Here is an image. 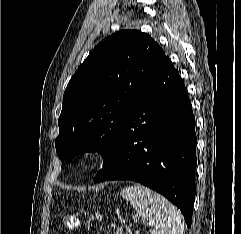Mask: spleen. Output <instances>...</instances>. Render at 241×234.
Instances as JSON below:
<instances>
[{"label": "spleen", "instance_id": "3e777b00", "mask_svg": "<svg viewBox=\"0 0 241 234\" xmlns=\"http://www.w3.org/2000/svg\"><path fill=\"white\" fill-rule=\"evenodd\" d=\"M121 196L153 227L152 234H184L182 214L159 193L135 184L124 188Z\"/></svg>", "mask_w": 241, "mask_h": 234}]
</instances>
